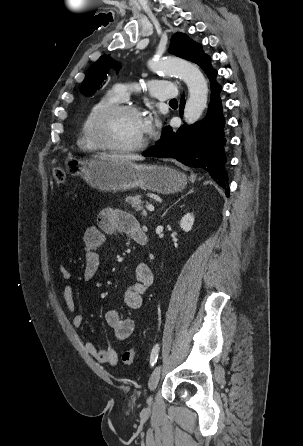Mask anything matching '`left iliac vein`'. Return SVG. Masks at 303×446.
<instances>
[{
	"mask_svg": "<svg viewBox=\"0 0 303 446\" xmlns=\"http://www.w3.org/2000/svg\"><path fill=\"white\" fill-rule=\"evenodd\" d=\"M160 374H161V365H158L155 367V369L153 370V372L151 373L150 378H149L148 387H149L150 391H154L155 388L157 387V384L160 379ZM151 401H152V398L149 397L148 403H151Z\"/></svg>",
	"mask_w": 303,
	"mask_h": 446,
	"instance_id": "1",
	"label": "left iliac vein"
}]
</instances>
